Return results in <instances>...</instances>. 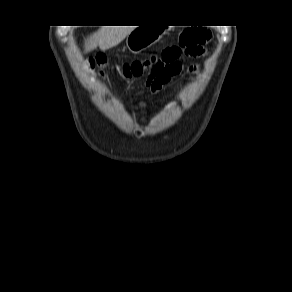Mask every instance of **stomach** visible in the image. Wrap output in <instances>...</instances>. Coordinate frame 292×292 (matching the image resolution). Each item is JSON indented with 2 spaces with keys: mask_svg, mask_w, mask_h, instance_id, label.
<instances>
[{
  "mask_svg": "<svg viewBox=\"0 0 292 292\" xmlns=\"http://www.w3.org/2000/svg\"><path fill=\"white\" fill-rule=\"evenodd\" d=\"M161 38V31L154 27H137L126 39L127 49L134 53H140L155 44Z\"/></svg>",
  "mask_w": 292,
  "mask_h": 292,
  "instance_id": "stomach-1",
  "label": "stomach"
}]
</instances>
